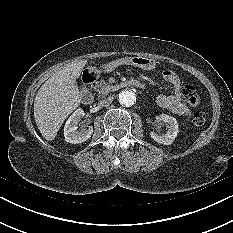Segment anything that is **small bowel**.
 <instances>
[{
    "instance_id": "obj_1",
    "label": "small bowel",
    "mask_w": 233,
    "mask_h": 233,
    "mask_svg": "<svg viewBox=\"0 0 233 233\" xmlns=\"http://www.w3.org/2000/svg\"><path fill=\"white\" fill-rule=\"evenodd\" d=\"M164 79L172 85L173 94H160L156 98L157 105L180 116H189L191 110L182 102V83L179 76L172 70L163 72Z\"/></svg>"
}]
</instances>
